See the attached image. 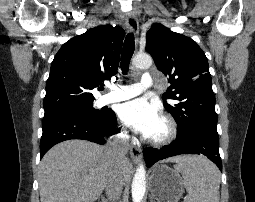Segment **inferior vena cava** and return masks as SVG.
<instances>
[{
	"label": "inferior vena cava",
	"instance_id": "inferior-vena-cava-1",
	"mask_svg": "<svg viewBox=\"0 0 255 202\" xmlns=\"http://www.w3.org/2000/svg\"><path fill=\"white\" fill-rule=\"evenodd\" d=\"M128 148V139L123 134L116 135L107 144V150L115 162L114 170L105 186L107 200L111 202H116L122 193L124 184L122 166L128 161L126 157Z\"/></svg>",
	"mask_w": 255,
	"mask_h": 202
}]
</instances>
